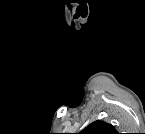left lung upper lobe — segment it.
Instances as JSON below:
<instances>
[{"instance_id":"left-lung-upper-lobe-1","label":"left lung upper lobe","mask_w":145,"mask_h":134,"mask_svg":"<svg viewBox=\"0 0 145 134\" xmlns=\"http://www.w3.org/2000/svg\"><path fill=\"white\" fill-rule=\"evenodd\" d=\"M81 134H117L113 125L97 120L81 131Z\"/></svg>"}]
</instances>
